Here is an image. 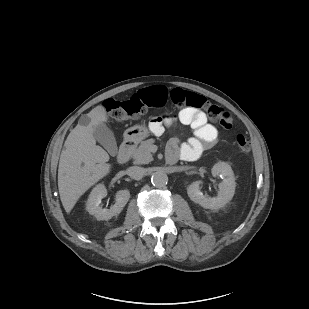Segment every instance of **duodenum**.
Segmentation results:
<instances>
[{
	"mask_svg": "<svg viewBox=\"0 0 309 309\" xmlns=\"http://www.w3.org/2000/svg\"><path fill=\"white\" fill-rule=\"evenodd\" d=\"M135 144L136 142L134 139H128L121 145L117 155V160L119 163L123 164L129 160Z\"/></svg>",
	"mask_w": 309,
	"mask_h": 309,
	"instance_id": "1",
	"label": "duodenum"
}]
</instances>
